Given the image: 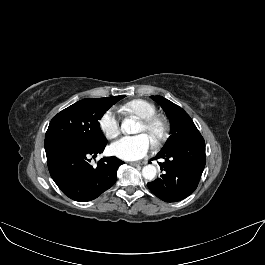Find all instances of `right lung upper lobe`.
<instances>
[{"label":"right lung upper lobe","instance_id":"1","mask_svg":"<svg viewBox=\"0 0 265 265\" xmlns=\"http://www.w3.org/2000/svg\"><path fill=\"white\" fill-rule=\"evenodd\" d=\"M121 97H122V96H114V97H109V98H111V99H115V100H118V99L120 100Z\"/></svg>","mask_w":265,"mask_h":265}]
</instances>
